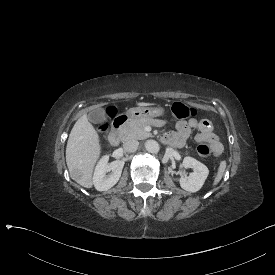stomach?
Instances as JSON below:
<instances>
[{"instance_id":"obj_1","label":"stomach","mask_w":275,"mask_h":275,"mask_svg":"<svg viewBox=\"0 0 275 275\" xmlns=\"http://www.w3.org/2000/svg\"><path fill=\"white\" fill-rule=\"evenodd\" d=\"M164 114V109L162 107H135L130 108L126 115L130 120L139 119H151L154 117L162 116Z\"/></svg>"}]
</instances>
